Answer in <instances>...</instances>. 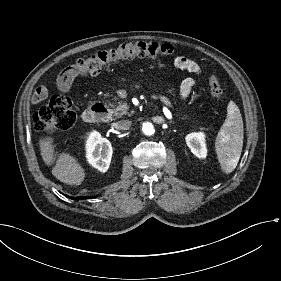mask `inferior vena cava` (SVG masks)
<instances>
[{
  "label": "inferior vena cava",
  "instance_id": "inferior-vena-cava-1",
  "mask_svg": "<svg viewBox=\"0 0 281 281\" xmlns=\"http://www.w3.org/2000/svg\"><path fill=\"white\" fill-rule=\"evenodd\" d=\"M131 126V121L129 120H121L116 123V128L118 130H128Z\"/></svg>",
  "mask_w": 281,
  "mask_h": 281
}]
</instances>
